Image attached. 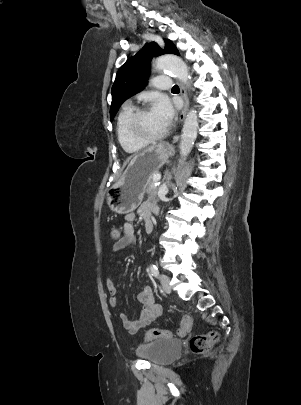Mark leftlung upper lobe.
<instances>
[{
    "label": "left lung upper lobe",
    "mask_w": 301,
    "mask_h": 405,
    "mask_svg": "<svg viewBox=\"0 0 301 405\" xmlns=\"http://www.w3.org/2000/svg\"><path fill=\"white\" fill-rule=\"evenodd\" d=\"M161 54L179 55V52L172 41L167 39H165V48L163 50L155 42L148 43L119 69L111 89V120H113L119 107L127 98L140 92L147 85V78L150 73V59Z\"/></svg>",
    "instance_id": "obj_1"
}]
</instances>
